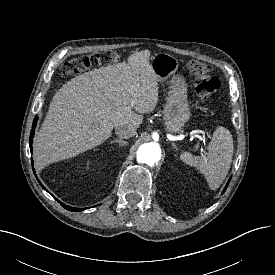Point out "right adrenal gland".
Returning a JSON list of instances; mask_svg holds the SVG:
<instances>
[{
	"mask_svg": "<svg viewBox=\"0 0 275 275\" xmlns=\"http://www.w3.org/2000/svg\"><path fill=\"white\" fill-rule=\"evenodd\" d=\"M115 142H117L118 144H119V146H124V145H126L127 144V142L126 141H124V140H122V139H113L110 143H115Z\"/></svg>",
	"mask_w": 275,
	"mask_h": 275,
	"instance_id": "right-adrenal-gland-1",
	"label": "right adrenal gland"
}]
</instances>
